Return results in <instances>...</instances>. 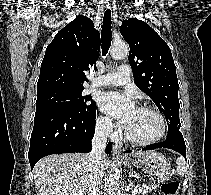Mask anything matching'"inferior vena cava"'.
<instances>
[{"label": "inferior vena cava", "mask_w": 211, "mask_h": 195, "mask_svg": "<svg viewBox=\"0 0 211 195\" xmlns=\"http://www.w3.org/2000/svg\"><path fill=\"white\" fill-rule=\"evenodd\" d=\"M112 131L110 120L98 124L92 139V151L87 154L90 173L88 176V195H99L98 186L103 177L102 151L106 147L107 137Z\"/></svg>", "instance_id": "602c4592"}]
</instances>
